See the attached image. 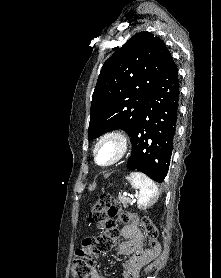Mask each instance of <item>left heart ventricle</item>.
<instances>
[{
  "label": "left heart ventricle",
  "mask_w": 221,
  "mask_h": 278,
  "mask_svg": "<svg viewBox=\"0 0 221 278\" xmlns=\"http://www.w3.org/2000/svg\"><path fill=\"white\" fill-rule=\"evenodd\" d=\"M97 159L101 164L112 162L118 154V146L114 140H106L97 148Z\"/></svg>",
  "instance_id": "b2bd125f"
}]
</instances>
